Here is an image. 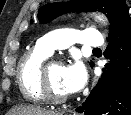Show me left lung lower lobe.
<instances>
[{
    "label": "left lung lower lobe",
    "instance_id": "1",
    "mask_svg": "<svg viewBox=\"0 0 131 115\" xmlns=\"http://www.w3.org/2000/svg\"><path fill=\"white\" fill-rule=\"evenodd\" d=\"M112 65L82 106L84 115H131V18L128 17L110 35L104 52Z\"/></svg>",
    "mask_w": 131,
    "mask_h": 115
}]
</instances>
